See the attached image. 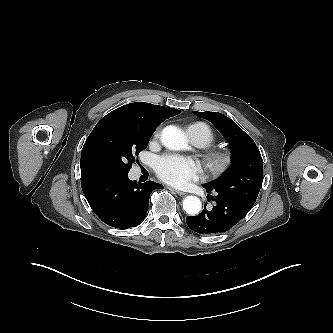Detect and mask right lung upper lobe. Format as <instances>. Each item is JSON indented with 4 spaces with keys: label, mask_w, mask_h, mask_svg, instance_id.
<instances>
[{
    "label": "right lung upper lobe",
    "mask_w": 333,
    "mask_h": 333,
    "mask_svg": "<svg viewBox=\"0 0 333 333\" xmlns=\"http://www.w3.org/2000/svg\"><path fill=\"white\" fill-rule=\"evenodd\" d=\"M180 112V110L169 107L153 105L145 102H135L113 110L103 117V119L121 118L138 128L156 129L165 119L175 116ZM91 177L92 175L81 167V181Z\"/></svg>",
    "instance_id": "1"
}]
</instances>
